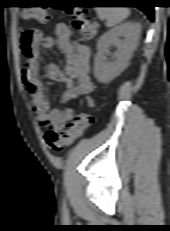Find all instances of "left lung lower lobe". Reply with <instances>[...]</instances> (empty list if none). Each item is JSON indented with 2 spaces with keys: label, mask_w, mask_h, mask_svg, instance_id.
<instances>
[{
  "label": "left lung lower lobe",
  "mask_w": 170,
  "mask_h": 231,
  "mask_svg": "<svg viewBox=\"0 0 170 231\" xmlns=\"http://www.w3.org/2000/svg\"><path fill=\"white\" fill-rule=\"evenodd\" d=\"M130 3L135 4L134 7L142 10L150 21H154V7L151 5V0H132Z\"/></svg>",
  "instance_id": "obj_1"
}]
</instances>
